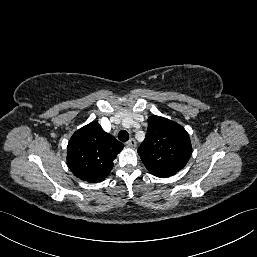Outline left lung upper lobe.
Masks as SVG:
<instances>
[{"mask_svg":"<svg viewBox=\"0 0 257 257\" xmlns=\"http://www.w3.org/2000/svg\"><path fill=\"white\" fill-rule=\"evenodd\" d=\"M138 154L151 174L166 178L187 164L192 147L189 135L181 125L152 115L148 118V131Z\"/></svg>","mask_w":257,"mask_h":257,"instance_id":"5c2ea615","label":"left lung upper lobe"}]
</instances>
